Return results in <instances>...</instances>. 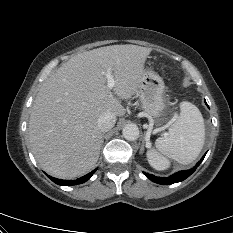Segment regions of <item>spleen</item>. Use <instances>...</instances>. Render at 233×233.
<instances>
[{
    "mask_svg": "<svg viewBox=\"0 0 233 233\" xmlns=\"http://www.w3.org/2000/svg\"><path fill=\"white\" fill-rule=\"evenodd\" d=\"M205 141V125L199 109L190 102L180 104V115L167 134L155 141L156 149L148 151L149 164L156 170H165L170 162H193L200 154Z\"/></svg>",
    "mask_w": 233,
    "mask_h": 233,
    "instance_id": "spleen-1",
    "label": "spleen"
}]
</instances>
